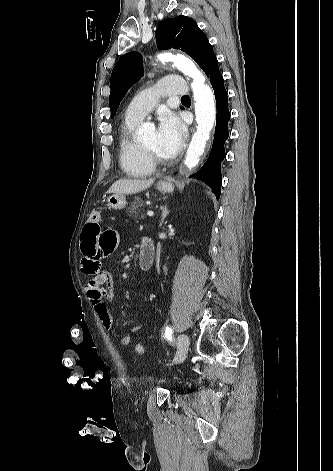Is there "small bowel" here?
<instances>
[{"label":"small bowel","mask_w":333,"mask_h":471,"mask_svg":"<svg viewBox=\"0 0 333 471\" xmlns=\"http://www.w3.org/2000/svg\"><path fill=\"white\" fill-rule=\"evenodd\" d=\"M99 222L91 223L88 220L82 230L81 268L89 276L85 286L87 299L102 325L106 329H111L114 323L105 301L111 300L114 296L113 276L110 271L102 268L101 261L115 249L118 236L113 230L102 232ZM104 285L108 286L107 289L103 287ZM139 329L140 324L135 323L130 331L136 332ZM120 343L122 346H128L131 343L130 335L122 336Z\"/></svg>","instance_id":"small-bowel-1"}]
</instances>
